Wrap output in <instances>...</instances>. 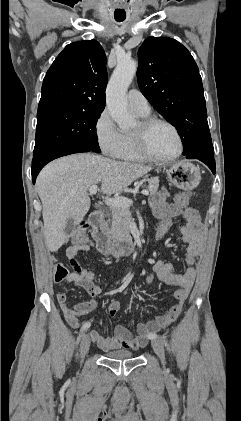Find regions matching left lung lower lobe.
<instances>
[{"label":"left lung lower lobe","mask_w":241,"mask_h":421,"mask_svg":"<svg viewBox=\"0 0 241 421\" xmlns=\"http://www.w3.org/2000/svg\"><path fill=\"white\" fill-rule=\"evenodd\" d=\"M194 158L205 163L211 169L213 174H215L216 168H215V160H214L213 155H209V154L197 155Z\"/></svg>","instance_id":"0a47b994"}]
</instances>
